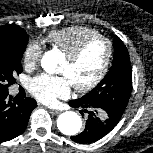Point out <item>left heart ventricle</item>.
Returning a JSON list of instances; mask_svg holds the SVG:
<instances>
[{"label":"left heart ventricle","mask_w":153,"mask_h":153,"mask_svg":"<svg viewBox=\"0 0 153 153\" xmlns=\"http://www.w3.org/2000/svg\"><path fill=\"white\" fill-rule=\"evenodd\" d=\"M107 55V45L98 40L90 44L75 62L70 63L66 58L60 73L66 75L72 85L89 83L100 71Z\"/></svg>","instance_id":"1"}]
</instances>
